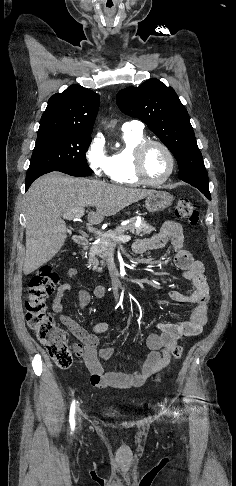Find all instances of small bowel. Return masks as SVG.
<instances>
[{
	"instance_id": "obj_1",
	"label": "small bowel",
	"mask_w": 236,
	"mask_h": 486,
	"mask_svg": "<svg viewBox=\"0 0 236 486\" xmlns=\"http://www.w3.org/2000/svg\"><path fill=\"white\" fill-rule=\"evenodd\" d=\"M183 240L181 225L175 221H166L162 224L158 233L152 237L137 240L133 244L135 253L144 254L171 243L176 249L175 264L182 271L183 277L192 282L193 291L190 294H184L173 290L169 292V297L178 303L194 305L188 320L179 323H160L158 325L159 331L147 337L146 344L149 354L141 367L133 373L105 371L102 361L108 360L113 355L114 349L105 347L98 351L100 345L98 335L107 332L110 329V324L108 322H97L91 330H87L66 315L63 299L71 290V284L65 280L59 285L52 302V310L58 315L60 322L80 341V344L74 345V352L89 370L92 386L101 389L140 387L147 378L169 365L171 352L179 338L196 336L201 333L207 322L209 287L204 275L203 263L195 260L192 254L183 248ZM76 273L77 271L71 268L67 271L66 278L70 279ZM106 293L107 288L104 286L96 287L93 290V295L96 297H103ZM91 297V292L82 288L78 294L80 308L87 307Z\"/></svg>"
}]
</instances>
